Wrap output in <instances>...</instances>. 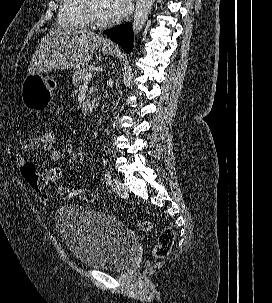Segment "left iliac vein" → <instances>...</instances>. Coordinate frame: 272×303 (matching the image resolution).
<instances>
[{
    "instance_id": "1",
    "label": "left iliac vein",
    "mask_w": 272,
    "mask_h": 303,
    "mask_svg": "<svg viewBox=\"0 0 272 303\" xmlns=\"http://www.w3.org/2000/svg\"><path fill=\"white\" fill-rule=\"evenodd\" d=\"M111 186L114 190V192L120 196V197H127L128 196V191L127 189L124 187V185L122 184V182L117 179V178H113L111 180Z\"/></svg>"
}]
</instances>
